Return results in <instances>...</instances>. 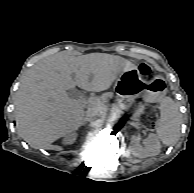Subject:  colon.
Instances as JSON below:
<instances>
[{
  "instance_id": "obj_1",
  "label": "colon",
  "mask_w": 194,
  "mask_h": 193,
  "mask_svg": "<svg viewBox=\"0 0 194 193\" xmlns=\"http://www.w3.org/2000/svg\"><path fill=\"white\" fill-rule=\"evenodd\" d=\"M139 72L142 76L148 77V76H150L152 69L148 64L142 63L139 66Z\"/></svg>"
}]
</instances>
